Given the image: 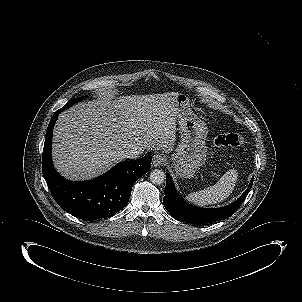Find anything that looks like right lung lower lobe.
<instances>
[{
    "label": "right lung lower lobe",
    "mask_w": 302,
    "mask_h": 302,
    "mask_svg": "<svg viewBox=\"0 0 302 302\" xmlns=\"http://www.w3.org/2000/svg\"><path fill=\"white\" fill-rule=\"evenodd\" d=\"M60 112L56 111L50 120L42 155L43 175L54 200L63 210L85 221L116 214L127 205L133 184L150 170L152 156L121 162L89 181H69L56 172L51 158L52 132Z\"/></svg>",
    "instance_id": "obj_1"
}]
</instances>
